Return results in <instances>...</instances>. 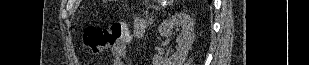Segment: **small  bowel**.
<instances>
[{"mask_svg":"<svg viewBox=\"0 0 309 65\" xmlns=\"http://www.w3.org/2000/svg\"><path fill=\"white\" fill-rule=\"evenodd\" d=\"M145 29V21L142 18H135L132 30L127 31L123 37L113 46V65H130L128 58V47L134 39L143 36Z\"/></svg>","mask_w":309,"mask_h":65,"instance_id":"obj_1","label":"small bowel"}]
</instances>
